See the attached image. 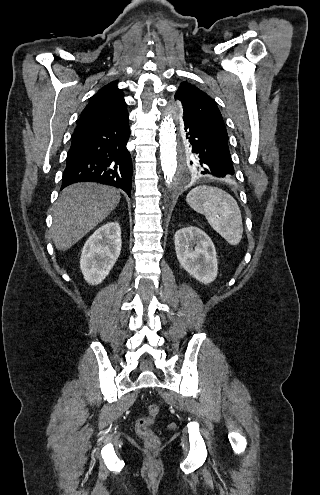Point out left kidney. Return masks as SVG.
I'll return each instance as SVG.
<instances>
[{"instance_id": "1", "label": "left kidney", "mask_w": 320, "mask_h": 495, "mask_svg": "<svg viewBox=\"0 0 320 495\" xmlns=\"http://www.w3.org/2000/svg\"><path fill=\"white\" fill-rule=\"evenodd\" d=\"M177 258L192 277L209 284L217 277V254L211 239L197 227L178 230L174 238Z\"/></svg>"}]
</instances>
